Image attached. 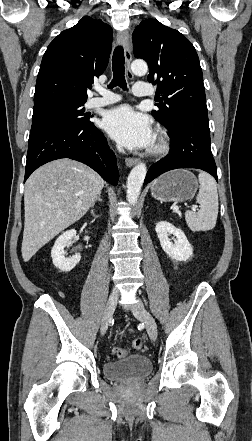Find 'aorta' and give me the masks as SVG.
<instances>
[{
    "label": "aorta",
    "instance_id": "aorta-1",
    "mask_svg": "<svg viewBox=\"0 0 252 441\" xmlns=\"http://www.w3.org/2000/svg\"><path fill=\"white\" fill-rule=\"evenodd\" d=\"M131 70L136 75H144L148 71L147 63L143 60H134L131 64ZM147 167L145 163H138L130 172L127 179L126 197L131 205H135L138 201L141 187L143 185Z\"/></svg>",
    "mask_w": 252,
    "mask_h": 441
}]
</instances>
